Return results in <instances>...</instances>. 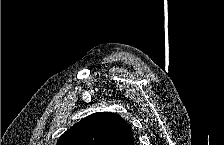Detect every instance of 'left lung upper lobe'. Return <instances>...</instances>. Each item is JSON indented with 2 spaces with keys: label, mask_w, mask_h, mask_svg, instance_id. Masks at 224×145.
Returning <instances> with one entry per match:
<instances>
[{
  "label": "left lung upper lobe",
  "mask_w": 224,
  "mask_h": 145,
  "mask_svg": "<svg viewBox=\"0 0 224 145\" xmlns=\"http://www.w3.org/2000/svg\"><path fill=\"white\" fill-rule=\"evenodd\" d=\"M57 145H134V139L123 118L111 112H99L68 129Z\"/></svg>",
  "instance_id": "1"
}]
</instances>
